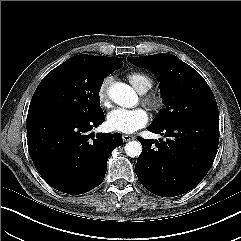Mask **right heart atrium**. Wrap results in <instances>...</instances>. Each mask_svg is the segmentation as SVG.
Listing matches in <instances>:
<instances>
[{"label": "right heart atrium", "mask_w": 241, "mask_h": 241, "mask_svg": "<svg viewBox=\"0 0 241 241\" xmlns=\"http://www.w3.org/2000/svg\"><path fill=\"white\" fill-rule=\"evenodd\" d=\"M111 83L110 77H105L101 84L99 85L98 91H97V98L101 106L103 107H109L110 106V100H109V86Z\"/></svg>", "instance_id": "1"}]
</instances>
